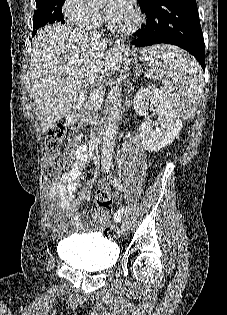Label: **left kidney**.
Instances as JSON below:
<instances>
[{
  "label": "left kidney",
  "mask_w": 227,
  "mask_h": 315,
  "mask_svg": "<svg viewBox=\"0 0 227 315\" xmlns=\"http://www.w3.org/2000/svg\"><path fill=\"white\" fill-rule=\"evenodd\" d=\"M154 108L158 114L155 124L160 125L156 131L151 126L148 109ZM134 109L140 116L147 117L139 127V136L146 150L157 152L172 143L182 129V121L176 111L154 86L141 87L134 97Z\"/></svg>",
  "instance_id": "5707ae66"
}]
</instances>
